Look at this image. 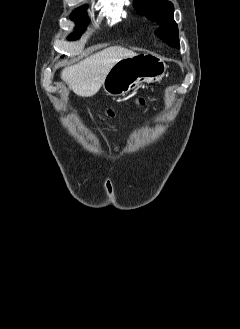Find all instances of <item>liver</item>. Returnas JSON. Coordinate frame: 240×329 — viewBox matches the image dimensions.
Returning a JSON list of instances; mask_svg holds the SVG:
<instances>
[{
  "mask_svg": "<svg viewBox=\"0 0 240 329\" xmlns=\"http://www.w3.org/2000/svg\"><path fill=\"white\" fill-rule=\"evenodd\" d=\"M135 55V52L121 46L108 47L64 68L61 78L75 94L91 97L100 90L107 73L116 62Z\"/></svg>",
  "mask_w": 240,
  "mask_h": 329,
  "instance_id": "6515ba94",
  "label": "liver"
}]
</instances>
